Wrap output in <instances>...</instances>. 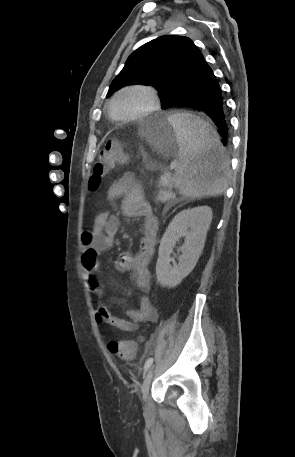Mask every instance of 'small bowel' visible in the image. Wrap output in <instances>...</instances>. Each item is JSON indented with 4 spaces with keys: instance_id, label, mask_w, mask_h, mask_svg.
Listing matches in <instances>:
<instances>
[{
    "instance_id": "obj_1",
    "label": "small bowel",
    "mask_w": 295,
    "mask_h": 457,
    "mask_svg": "<svg viewBox=\"0 0 295 457\" xmlns=\"http://www.w3.org/2000/svg\"><path fill=\"white\" fill-rule=\"evenodd\" d=\"M108 196L113 200L122 198L121 209L125 216L143 220V237L138 253H122L115 262L117 270L132 274L135 287L142 296L139 307L127 310L125 318L112 314L104 305L97 309L96 318L99 323L132 332L141 324L157 322L159 318L156 308L147 296L150 291L149 263L157 243L158 221L132 174L127 173L115 181L108 190ZM119 226L117 216L104 210L95 216L92 228L82 235L84 279L89 289L99 296H106L107 290L98 275V258L101 253L112 248Z\"/></svg>"
}]
</instances>
